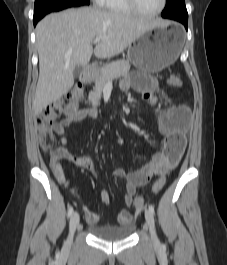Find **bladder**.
Instances as JSON below:
<instances>
[{
  "label": "bladder",
  "instance_id": "bladder-1",
  "mask_svg": "<svg viewBox=\"0 0 227 265\" xmlns=\"http://www.w3.org/2000/svg\"><path fill=\"white\" fill-rule=\"evenodd\" d=\"M135 230V225L132 222L127 224H120L119 226H96L91 225L88 231L95 238L108 241L117 242L128 239Z\"/></svg>",
  "mask_w": 227,
  "mask_h": 265
}]
</instances>
